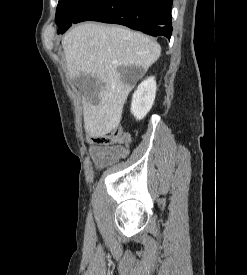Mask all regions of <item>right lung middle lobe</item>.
<instances>
[{"mask_svg":"<svg viewBox=\"0 0 247 275\" xmlns=\"http://www.w3.org/2000/svg\"><path fill=\"white\" fill-rule=\"evenodd\" d=\"M99 0H59L55 21L57 33H64L75 20L90 6Z\"/></svg>","mask_w":247,"mask_h":275,"instance_id":"1","label":"right lung middle lobe"}]
</instances>
